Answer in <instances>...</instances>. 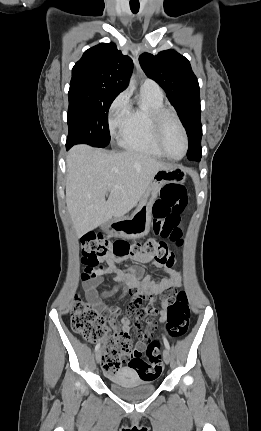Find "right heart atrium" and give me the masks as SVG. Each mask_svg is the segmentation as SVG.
<instances>
[{"instance_id": "obj_1", "label": "right heart atrium", "mask_w": 261, "mask_h": 431, "mask_svg": "<svg viewBox=\"0 0 261 431\" xmlns=\"http://www.w3.org/2000/svg\"><path fill=\"white\" fill-rule=\"evenodd\" d=\"M131 111L128 91L121 92L111 103L108 111L109 129L112 134L121 131Z\"/></svg>"}]
</instances>
